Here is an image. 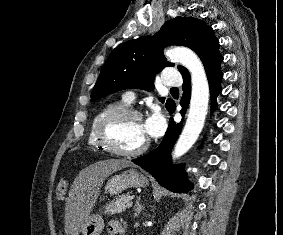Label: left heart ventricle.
I'll return each instance as SVG.
<instances>
[{
	"mask_svg": "<svg viewBox=\"0 0 283 235\" xmlns=\"http://www.w3.org/2000/svg\"><path fill=\"white\" fill-rule=\"evenodd\" d=\"M109 137L121 150H135L148 139L143 130V121L135 117L115 123L109 131Z\"/></svg>",
	"mask_w": 283,
	"mask_h": 235,
	"instance_id": "b2bd125f",
	"label": "left heart ventricle"
}]
</instances>
